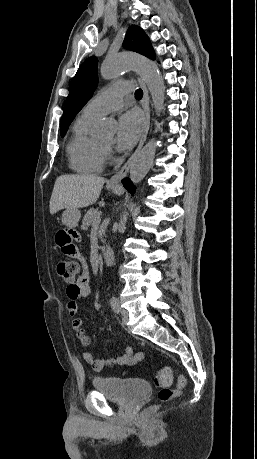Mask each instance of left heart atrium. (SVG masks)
<instances>
[{"label":"left heart atrium","instance_id":"1","mask_svg":"<svg viewBox=\"0 0 257 459\" xmlns=\"http://www.w3.org/2000/svg\"><path fill=\"white\" fill-rule=\"evenodd\" d=\"M143 118L137 111L123 114L118 122L116 147L119 151L132 148L140 137L143 129Z\"/></svg>","mask_w":257,"mask_h":459}]
</instances>
